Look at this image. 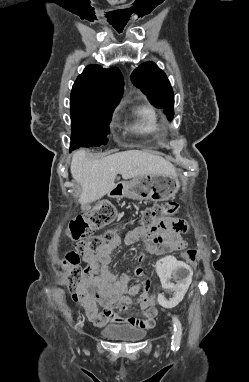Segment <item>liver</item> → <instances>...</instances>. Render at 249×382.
Wrapping results in <instances>:
<instances>
[{
	"mask_svg": "<svg viewBox=\"0 0 249 382\" xmlns=\"http://www.w3.org/2000/svg\"><path fill=\"white\" fill-rule=\"evenodd\" d=\"M71 175L81 184V204L101 199L115 188V178L121 174L127 180L141 175H166L176 177L175 167L166 159L149 151L128 150L101 159H88L80 149L73 154Z\"/></svg>",
	"mask_w": 249,
	"mask_h": 382,
	"instance_id": "1",
	"label": "liver"
}]
</instances>
